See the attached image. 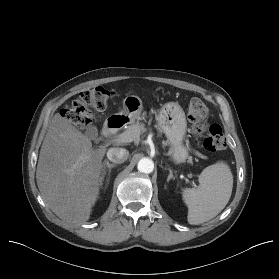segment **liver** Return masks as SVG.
I'll return each instance as SVG.
<instances>
[{"mask_svg": "<svg viewBox=\"0 0 279 279\" xmlns=\"http://www.w3.org/2000/svg\"><path fill=\"white\" fill-rule=\"evenodd\" d=\"M105 148L93 150L89 137L55 114L42 143L36 181L41 197L66 224L89 220L102 184Z\"/></svg>", "mask_w": 279, "mask_h": 279, "instance_id": "liver-1", "label": "liver"}]
</instances>
